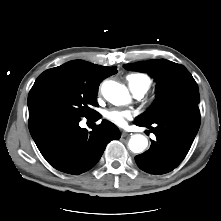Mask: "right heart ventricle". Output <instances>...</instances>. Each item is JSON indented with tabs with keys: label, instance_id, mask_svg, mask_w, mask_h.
<instances>
[{
	"label": "right heart ventricle",
	"instance_id": "e07e8e85",
	"mask_svg": "<svg viewBox=\"0 0 221 221\" xmlns=\"http://www.w3.org/2000/svg\"><path fill=\"white\" fill-rule=\"evenodd\" d=\"M126 79L132 91L142 90L145 93L151 85V79L141 73L129 74Z\"/></svg>",
	"mask_w": 221,
	"mask_h": 221
}]
</instances>
